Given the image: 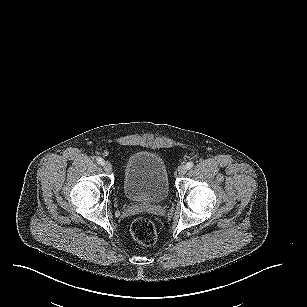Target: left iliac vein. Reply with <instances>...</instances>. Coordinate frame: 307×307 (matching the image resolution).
I'll list each match as a JSON object with an SVG mask.
<instances>
[{"label": "left iliac vein", "mask_w": 307, "mask_h": 307, "mask_svg": "<svg viewBox=\"0 0 307 307\" xmlns=\"http://www.w3.org/2000/svg\"><path fill=\"white\" fill-rule=\"evenodd\" d=\"M178 175L183 176L187 172V167L185 165H181L177 169Z\"/></svg>", "instance_id": "1"}]
</instances>
